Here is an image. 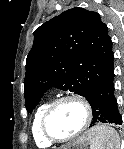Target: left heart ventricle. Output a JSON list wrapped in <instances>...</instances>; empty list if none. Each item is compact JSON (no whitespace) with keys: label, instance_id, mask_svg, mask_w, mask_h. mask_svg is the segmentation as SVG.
I'll use <instances>...</instances> for the list:
<instances>
[{"label":"left heart ventricle","instance_id":"1","mask_svg":"<svg viewBox=\"0 0 124 149\" xmlns=\"http://www.w3.org/2000/svg\"><path fill=\"white\" fill-rule=\"evenodd\" d=\"M83 107L73 101L64 102L51 114L48 130L56 138H66L76 133L84 122Z\"/></svg>","mask_w":124,"mask_h":149}]
</instances>
